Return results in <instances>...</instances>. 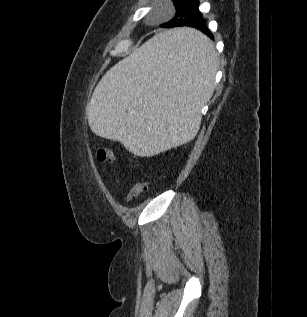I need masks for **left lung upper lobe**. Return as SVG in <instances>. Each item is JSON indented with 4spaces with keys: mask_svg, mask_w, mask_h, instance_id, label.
Segmentation results:
<instances>
[{
    "mask_svg": "<svg viewBox=\"0 0 307 317\" xmlns=\"http://www.w3.org/2000/svg\"><path fill=\"white\" fill-rule=\"evenodd\" d=\"M176 10L175 16L172 20L165 23L168 27L180 26L183 20H188L193 17L199 7L198 0H172Z\"/></svg>",
    "mask_w": 307,
    "mask_h": 317,
    "instance_id": "5c2ea615",
    "label": "left lung upper lobe"
}]
</instances>
